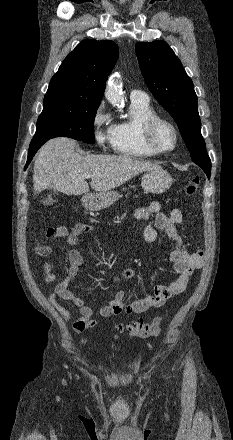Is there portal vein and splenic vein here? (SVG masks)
<instances>
[{
	"label": "portal vein and splenic vein",
	"instance_id": "obj_1",
	"mask_svg": "<svg viewBox=\"0 0 233 440\" xmlns=\"http://www.w3.org/2000/svg\"><path fill=\"white\" fill-rule=\"evenodd\" d=\"M84 177H85V178H90V177H92V174L87 173V174L84 175Z\"/></svg>",
	"mask_w": 233,
	"mask_h": 440
}]
</instances>
